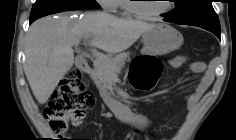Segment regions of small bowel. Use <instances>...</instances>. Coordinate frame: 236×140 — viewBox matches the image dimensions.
I'll return each instance as SVG.
<instances>
[{
  "label": "small bowel",
  "mask_w": 236,
  "mask_h": 140,
  "mask_svg": "<svg viewBox=\"0 0 236 140\" xmlns=\"http://www.w3.org/2000/svg\"><path fill=\"white\" fill-rule=\"evenodd\" d=\"M188 62L186 56H176L169 60V65L173 68H178ZM190 68L195 73H203L199 79L195 89L188 95L186 100L187 111L189 114L193 113L197 107L201 97L207 91L214 79V73L211 70L206 69V65L200 61H194L190 63ZM140 128H147L150 125V120L144 116H134L131 119ZM164 140V139H162Z\"/></svg>",
  "instance_id": "c3829d8e"
}]
</instances>
